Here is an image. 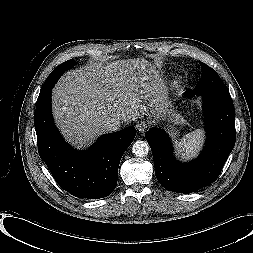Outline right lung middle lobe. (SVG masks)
<instances>
[{"label":"right lung middle lobe","instance_id":"1","mask_svg":"<svg viewBox=\"0 0 253 253\" xmlns=\"http://www.w3.org/2000/svg\"><path fill=\"white\" fill-rule=\"evenodd\" d=\"M76 64L74 59H70L63 64L56 67L52 73L49 75V77L44 82V85L41 88V92L39 94L38 98H42L45 96L46 93H48L55 85V83L58 81L59 77L67 70L71 69Z\"/></svg>","mask_w":253,"mask_h":253}]
</instances>
